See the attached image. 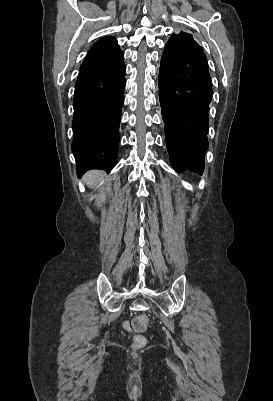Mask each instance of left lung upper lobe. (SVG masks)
Segmentation results:
<instances>
[{
    "mask_svg": "<svg viewBox=\"0 0 273 401\" xmlns=\"http://www.w3.org/2000/svg\"><path fill=\"white\" fill-rule=\"evenodd\" d=\"M191 37H192L191 34H188V33H185V32L181 31L179 34H173L171 36V38L169 39V41L184 40V39L191 38Z\"/></svg>",
    "mask_w": 273,
    "mask_h": 401,
    "instance_id": "obj_1",
    "label": "left lung upper lobe"
}]
</instances>
